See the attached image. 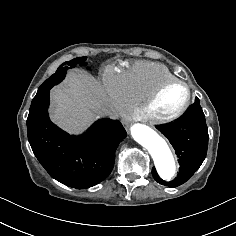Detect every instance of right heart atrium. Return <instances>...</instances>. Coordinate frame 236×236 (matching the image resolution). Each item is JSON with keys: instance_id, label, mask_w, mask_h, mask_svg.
<instances>
[{"instance_id": "obj_1", "label": "right heart atrium", "mask_w": 236, "mask_h": 236, "mask_svg": "<svg viewBox=\"0 0 236 236\" xmlns=\"http://www.w3.org/2000/svg\"><path fill=\"white\" fill-rule=\"evenodd\" d=\"M102 81L106 85V94L111 101L114 114H123L129 103L124 95L122 80L118 76L106 72L102 76Z\"/></svg>"}]
</instances>
